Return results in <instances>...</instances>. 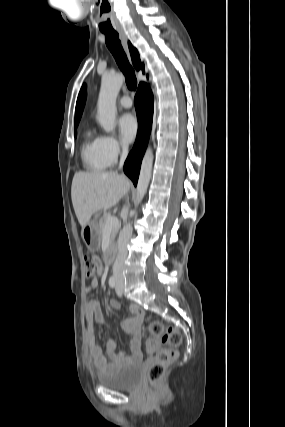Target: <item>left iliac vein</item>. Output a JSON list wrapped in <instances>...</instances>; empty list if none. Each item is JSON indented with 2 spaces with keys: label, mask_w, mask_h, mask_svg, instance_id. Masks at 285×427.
Listing matches in <instances>:
<instances>
[{
  "label": "left iliac vein",
  "mask_w": 285,
  "mask_h": 427,
  "mask_svg": "<svg viewBox=\"0 0 285 427\" xmlns=\"http://www.w3.org/2000/svg\"><path fill=\"white\" fill-rule=\"evenodd\" d=\"M124 289V281L122 278L117 279V285H116V293L118 296H122Z\"/></svg>",
  "instance_id": "obj_1"
}]
</instances>
